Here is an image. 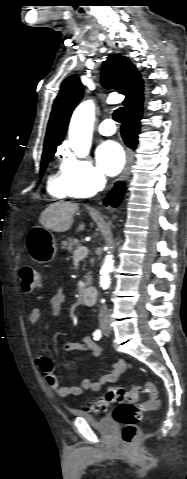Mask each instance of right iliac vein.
Listing matches in <instances>:
<instances>
[{"mask_svg":"<svg viewBox=\"0 0 187 479\" xmlns=\"http://www.w3.org/2000/svg\"><path fill=\"white\" fill-rule=\"evenodd\" d=\"M102 327H103V328H105V327H106V324H105V323H104V324H102Z\"/></svg>","mask_w":187,"mask_h":479,"instance_id":"63e3f726","label":"right iliac vein"}]
</instances>
